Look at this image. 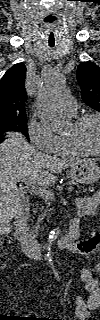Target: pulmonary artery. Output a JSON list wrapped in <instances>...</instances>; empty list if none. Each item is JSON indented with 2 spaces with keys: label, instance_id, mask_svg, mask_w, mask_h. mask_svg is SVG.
Instances as JSON below:
<instances>
[{
  "label": "pulmonary artery",
  "instance_id": "e3ab8cb5",
  "mask_svg": "<svg viewBox=\"0 0 100 320\" xmlns=\"http://www.w3.org/2000/svg\"><path fill=\"white\" fill-rule=\"evenodd\" d=\"M58 107L68 115H75L77 111V103L70 95H63L58 100Z\"/></svg>",
  "mask_w": 100,
  "mask_h": 320
}]
</instances>
